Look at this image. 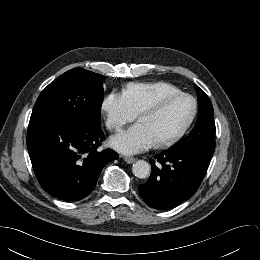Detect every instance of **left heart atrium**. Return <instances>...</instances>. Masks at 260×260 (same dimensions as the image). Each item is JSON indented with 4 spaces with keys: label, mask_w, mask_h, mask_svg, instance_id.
<instances>
[{
    "label": "left heart atrium",
    "mask_w": 260,
    "mask_h": 260,
    "mask_svg": "<svg viewBox=\"0 0 260 260\" xmlns=\"http://www.w3.org/2000/svg\"><path fill=\"white\" fill-rule=\"evenodd\" d=\"M156 141L146 127L138 122L124 133L114 137L111 144L125 154H135L155 145Z\"/></svg>",
    "instance_id": "left-heart-atrium-1"
}]
</instances>
